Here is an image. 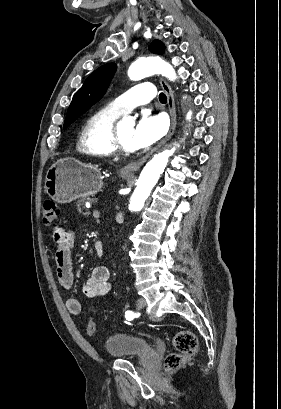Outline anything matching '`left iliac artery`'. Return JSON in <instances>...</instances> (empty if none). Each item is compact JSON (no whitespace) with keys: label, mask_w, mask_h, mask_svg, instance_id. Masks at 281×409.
Returning <instances> with one entry per match:
<instances>
[{"label":"left iliac artery","mask_w":281,"mask_h":409,"mask_svg":"<svg viewBox=\"0 0 281 409\" xmlns=\"http://www.w3.org/2000/svg\"><path fill=\"white\" fill-rule=\"evenodd\" d=\"M125 317L127 320H132L135 317V313L132 311H127Z\"/></svg>","instance_id":"44dca946"}]
</instances>
